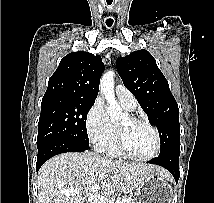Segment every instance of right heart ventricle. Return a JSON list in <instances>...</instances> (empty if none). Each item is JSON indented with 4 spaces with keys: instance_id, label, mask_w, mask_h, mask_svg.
<instances>
[{
    "instance_id": "right-heart-ventricle-1",
    "label": "right heart ventricle",
    "mask_w": 214,
    "mask_h": 203,
    "mask_svg": "<svg viewBox=\"0 0 214 203\" xmlns=\"http://www.w3.org/2000/svg\"><path fill=\"white\" fill-rule=\"evenodd\" d=\"M117 135H118V128L115 125V131H114L113 135L111 136V138L108 141H106L105 143H103L102 145H100L98 147V149L102 153L107 154L109 156H113V157L121 156L122 153L120 152L119 147H118Z\"/></svg>"
}]
</instances>
